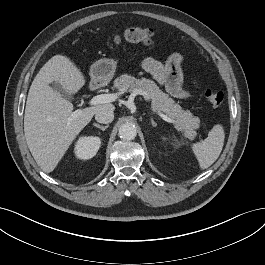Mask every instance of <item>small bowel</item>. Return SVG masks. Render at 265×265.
Returning <instances> with one entry per match:
<instances>
[{
	"instance_id": "obj_1",
	"label": "small bowel",
	"mask_w": 265,
	"mask_h": 265,
	"mask_svg": "<svg viewBox=\"0 0 265 265\" xmlns=\"http://www.w3.org/2000/svg\"><path fill=\"white\" fill-rule=\"evenodd\" d=\"M183 57L174 53L170 55L165 63L154 58L147 57L142 60V68L161 84L169 94L177 99H187L192 96V92L183 87L182 74ZM195 88L199 87V81H193Z\"/></svg>"
}]
</instances>
